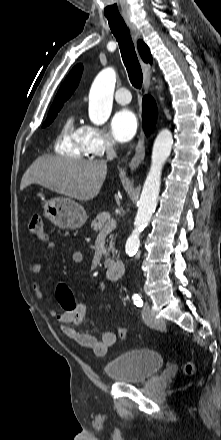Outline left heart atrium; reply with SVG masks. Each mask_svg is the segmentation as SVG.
Returning <instances> with one entry per match:
<instances>
[{"label": "left heart atrium", "instance_id": "39dd6f15", "mask_svg": "<svg viewBox=\"0 0 221 440\" xmlns=\"http://www.w3.org/2000/svg\"><path fill=\"white\" fill-rule=\"evenodd\" d=\"M137 127V118L135 114L128 109L117 112L111 121L112 133L120 142L130 140L135 135Z\"/></svg>", "mask_w": 221, "mask_h": 440}]
</instances>
